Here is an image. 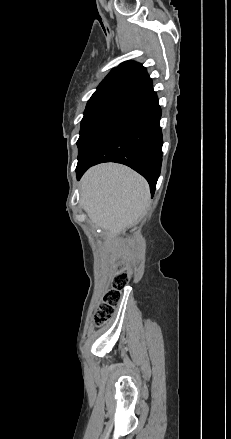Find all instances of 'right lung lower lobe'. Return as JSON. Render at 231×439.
I'll return each instance as SVG.
<instances>
[{
  "label": "right lung lower lobe",
  "instance_id": "obj_1",
  "mask_svg": "<svg viewBox=\"0 0 231 439\" xmlns=\"http://www.w3.org/2000/svg\"><path fill=\"white\" fill-rule=\"evenodd\" d=\"M142 114L116 126L103 135L78 160L77 178L91 166L101 162L125 164L143 177L150 185L153 196L162 163L161 109L153 88L135 96Z\"/></svg>",
  "mask_w": 231,
  "mask_h": 439
}]
</instances>
